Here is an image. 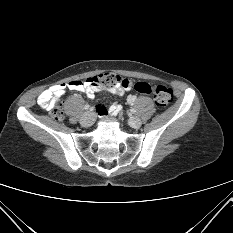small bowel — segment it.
<instances>
[{"label":"small bowel","mask_w":233,"mask_h":233,"mask_svg":"<svg viewBox=\"0 0 233 233\" xmlns=\"http://www.w3.org/2000/svg\"><path fill=\"white\" fill-rule=\"evenodd\" d=\"M130 88H124L120 85L113 86L107 88V90L116 95L123 96L124 92ZM65 90L79 91L84 92L89 99H93L95 94L104 90L103 87L97 86V84H93L92 80L87 81H70L62 84L55 85L49 89L44 90L37 99L38 105L46 110H51L55 107L57 102L55 101V97L62 94ZM136 100L135 95L128 96V103L133 104ZM122 111V106L119 103H114L109 107L104 105H98L96 108L97 115L99 117H104L107 114L111 116H117Z\"/></svg>","instance_id":"obj_1"}]
</instances>
